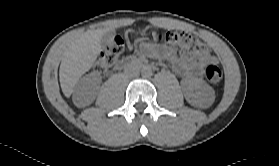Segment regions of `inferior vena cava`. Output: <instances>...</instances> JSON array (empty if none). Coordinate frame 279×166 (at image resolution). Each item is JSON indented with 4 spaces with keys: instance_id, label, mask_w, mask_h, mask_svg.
Wrapping results in <instances>:
<instances>
[{
    "instance_id": "602c4592",
    "label": "inferior vena cava",
    "mask_w": 279,
    "mask_h": 166,
    "mask_svg": "<svg viewBox=\"0 0 279 166\" xmlns=\"http://www.w3.org/2000/svg\"><path fill=\"white\" fill-rule=\"evenodd\" d=\"M127 75L129 77H136L139 75V71L138 70L127 71Z\"/></svg>"
}]
</instances>
